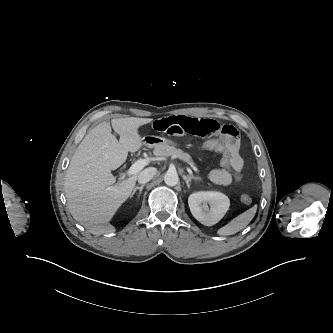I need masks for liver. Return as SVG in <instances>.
I'll list each match as a JSON object with an SVG mask.
<instances>
[{
  "instance_id": "liver-1",
  "label": "liver",
  "mask_w": 333,
  "mask_h": 333,
  "mask_svg": "<svg viewBox=\"0 0 333 333\" xmlns=\"http://www.w3.org/2000/svg\"><path fill=\"white\" fill-rule=\"evenodd\" d=\"M152 118L112 119L111 124L120 135H112L110 123L102 122L91 129L77 147L66 171L64 191L73 218L94 235L115 232L109 221L129 198L138 173L115 184L111 170L127 159L128 152H136L143 145L138 132Z\"/></svg>"
}]
</instances>
